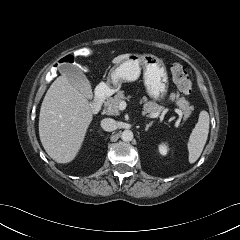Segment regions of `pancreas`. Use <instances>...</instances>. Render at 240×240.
I'll use <instances>...</instances> for the list:
<instances>
[{
  "mask_svg": "<svg viewBox=\"0 0 240 240\" xmlns=\"http://www.w3.org/2000/svg\"><path fill=\"white\" fill-rule=\"evenodd\" d=\"M131 96H125L124 91H118L114 97H108L104 101V110L103 113L107 115H119L118 105L121 101L125 99H130ZM171 100L176 99L177 106L183 111L184 119H187L193 108L190 106L189 102L184 98H179L178 94L172 93L170 96ZM140 103H144L142 114L152 116L155 113H160L163 110V106L158 105L155 102L147 101L146 98L140 100Z\"/></svg>",
  "mask_w": 240,
  "mask_h": 240,
  "instance_id": "pancreas-1",
  "label": "pancreas"
}]
</instances>
